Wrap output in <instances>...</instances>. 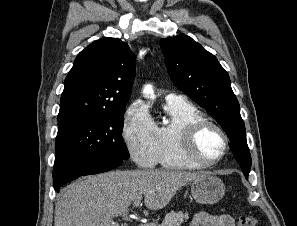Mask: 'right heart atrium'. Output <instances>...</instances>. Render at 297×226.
<instances>
[{"instance_id": "obj_1", "label": "right heart atrium", "mask_w": 297, "mask_h": 226, "mask_svg": "<svg viewBox=\"0 0 297 226\" xmlns=\"http://www.w3.org/2000/svg\"><path fill=\"white\" fill-rule=\"evenodd\" d=\"M122 137L130 157L139 167L152 168L157 164L158 127L140 101L128 107Z\"/></svg>"}]
</instances>
